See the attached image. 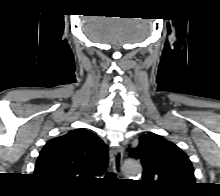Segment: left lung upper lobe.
Masks as SVG:
<instances>
[{
	"mask_svg": "<svg viewBox=\"0 0 220 196\" xmlns=\"http://www.w3.org/2000/svg\"><path fill=\"white\" fill-rule=\"evenodd\" d=\"M130 154L141 160L143 181L162 193H179L195 183L188 156L160 135L152 132L142 135Z\"/></svg>",
	"mask_w": 220,
	"mask_h": 196,
	"instance_id": "obj_1",
	"label": "left lung upper lobe"
}]
</instances>
